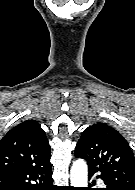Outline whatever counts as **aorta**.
Masks as SVG:
<instances>
[{
	"label": "aorta",
	"mask_w": 135,
	"mask_h": 190,
	"mask_svg": "<svg viewBox=\"0 0 135 190\" xmlns=\"http://www.w3.org/2000/svg\"><path fill=\"white\" fill-rule=\"evenodd\" d=\"M88 168L84 160H76L70 171L71 186L87 187Z\"/></svg>",
	"instance_id": "obj_1"
}]
</instances>
